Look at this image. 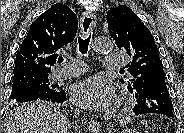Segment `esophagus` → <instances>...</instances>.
I'll use <instances>...</instances> for the list:
<instances>
[{
  "instance_id": "obj_1",
  "label": "esophagus",
  "mask_w": 184,
  "mask_h": 133,
  "mask_svg": "<svg viewBox=\"0 0 184 133\" xmlns=\"http://www.w3.org/2000/svg\"><path fill=\"white\" fill-rule=\"evenodd\" d=\"M96 26V15L92 12H84L80 19V33L83 37L87 36L89 31ZM89 130L98 133L101 130L100 124L91 120L88 126Z\"/></svg>"
}]
</instances>
